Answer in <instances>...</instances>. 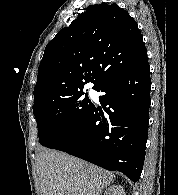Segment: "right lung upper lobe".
<instances>
[{
  "mask_svg": "<svg viewBox=\"0 0 178 195\" xmlns=\"http://www.w3.org/2000/svg\"><path fill=\"white\" fill-rule=\"evenodd\" d=\"M148 61L137 23L116 4L91 5L47 44L38 68L34 107L53 98L97 90Z\"/></svg>",
  "mask_w": 178,
  "mask_h": 195,
  "instance_id": "cb5924a9",
  "label": "right lung upper lobe"
}]
</instances>
